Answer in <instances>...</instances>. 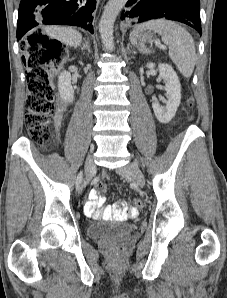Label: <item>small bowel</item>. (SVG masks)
Instances as JSON below:
<instances>
[{
  "label": "small bowel",
  "mask_w": 227,
  "mask_h": 298,
  "mask_svg": "<svg viewBox=\"0 0 227 298\" xmlns=\"http://www.w3.org/2000/svg\"><path fill=\"white\" fill-rule=\"evenodd\" d=\"M63 108L61 107L56 116V126L60 127L61 122V112ZM105 197L99 194V191L94 189L90 192L88 201L84 206V212L87 216L94 219L100 218H126L130 214H135L137 212L136 208L131 210L122 209L120 205H105ZM97 207L101 209H97Z\"/></svg>",
  "instance_id": "c3829d8e"
}]
</instances>
